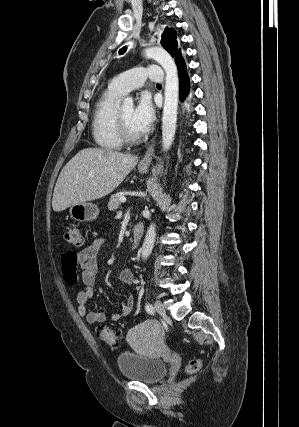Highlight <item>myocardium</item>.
I'll return each mask as SVG.
<instances>
[{
	"instance_id": "1",
	"label": "myocardium",
	"mask_w": 299,
	"mask_h": 427,
	"mask_svg": "<svg viewBox=\"0 0 299 427\" xmlns=\"http://www.w3.org/2000/svg\"><path fill=\"white\" fill-rule=\"evenodd\" d=\"M116 125L119 136L121 137L123 142L136 143L140 141L143 137L142 134H133L130 132L122 116L121 107H118L116 110Z\"/></svg>"
}]
</instances>
